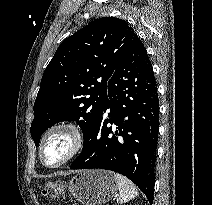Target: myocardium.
I'll return each instance as SVG.
<instances>
[{"label":"myocardium","mask_w":212,"mask_h":205,"mask_svg":"<svg viewBox=\"0 0 212 205\" xmlns=\"http://www.w3.org/2000/svg\"><path fill=\"white\" fill-rule=\"evenodd\" d=\"M57 134H63L69 139V149L63 158H61L56 163H48L44 158V149L48 141ZM84 145V134L81 128L74 122L71 121H62L52 125L44 133L40 145H39V157L41 162L51 168L59 167L72 158H74L82 149Z\"/></svg>","instance_id":"obj_1"}]
</instances>
